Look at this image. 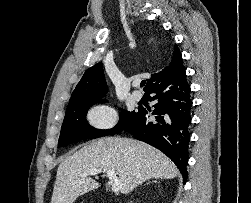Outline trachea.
I'll use <instances>...</instances> for the list:
<instances>
[{
	"label": "trachea",
	"instance_id": "trachea-1",
	"mask_svg": "<svg viewBox=\"0 0 251 203\" xmlns=\"http://www.w3.org/2000/svg\"><path fill=\"white\" fill-rule=\"evenodd\" d=\"M145 84H146V81L143 80V81L141 82L140 86L143 87V86H145Z\"/></svg>",
	"mask_w": 251,
	"mask_h": 203
}]
</instances>
